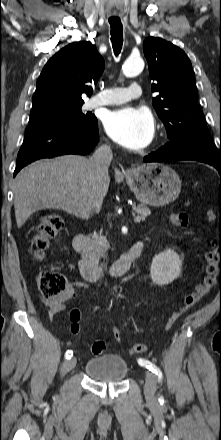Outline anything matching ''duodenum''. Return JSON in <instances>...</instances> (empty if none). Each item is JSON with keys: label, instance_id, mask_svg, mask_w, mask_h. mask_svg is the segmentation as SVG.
<instances>
[{"label": "duodenum", "instance_id": "duodenum-1", "mask_svg": "<svg viewBox=\"0 0 221 440\" xmlns=\"http://www.w3.org/2000/svg\"><path fill=\"white\" fill-rule=\"evenodd\" d=\"M87 246V237L85 234H76L73 239L74 250L81 254L78 262V269L81 276L88 281H97L105 274V272L90 259L87 254H84ZM143 249V242L137 241L132 247L116 261L106 272L110 277L123 276L131 267L132 263L137 259Z\"/></svg>", "mask_w": 221, "mask_h": 440}]
</instances>
